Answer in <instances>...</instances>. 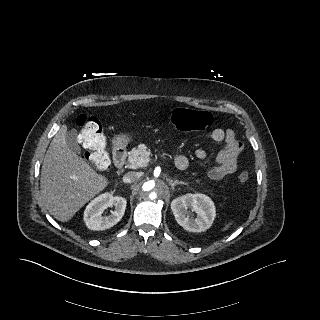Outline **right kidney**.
I'll list each match as a JSON object with an SVG mask.
<instances>
[{"label": "right kidney", "mask_w": 320, "mask_h": 320, "mask_svg": "<svg viewBox=\"0 0 320 320\" xmlns=\"http://www.w3.org/2000/svg\"><path fill=\"white\" fill-rule=\"evenodd\" d=\"M126 199L120 196H113L104 193L92 200L84 212L86 226L95 231L108 229L117 224L124 215L126 209ZM115 207L110 215H102L108 207Z\"/></svg>", "instance_id": "right-kidney-1"}]
</instances>
